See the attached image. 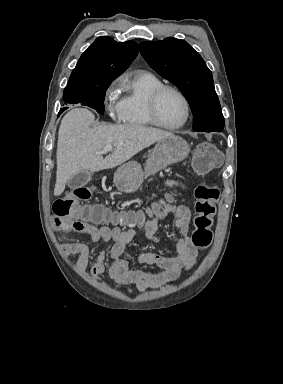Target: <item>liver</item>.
Wrapping results in <instances>:
<instances>
[{"mask_svg":"<svg viewBox=\"0 0 283 384\" xmlns=\"http://www.w3.org/2000/svg\"><path fill=\"white\" fill-rule=\"evenodd\" d=\"M94 120V114L86 108H74L65 114L58 132L54 196L63 194L68 180L76 174L116 168L144 148L173 136L172 132L142 124L91 128ZM107 144L113 146L114 152L103 158L102 150Z\"/></svg>","mask_w":283,"mask_h":384,"instance_id":"1","label":"liver"}]
</instances>
